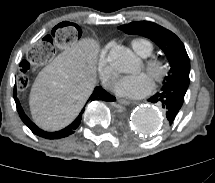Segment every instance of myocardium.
Instances as JSON below:
<instances>
[{
	"label": "myocardium",
	"instance_id": "f54148a6",
	"mask_svg": "<svg viewBox=\"0 0 215 183\" xmlns=\"http://www.w3.org/2000/svg\"><path fill=\"white\" fill-rule=\"evenodd\" d=\"M143 67L152 80L157 84L162 83L168 77L170 71L167 61L159 57H151L147 59L144 62Z\"/></svg>",
	"mask_w": 215,
	"mask_h": 183
}]
</instances>
